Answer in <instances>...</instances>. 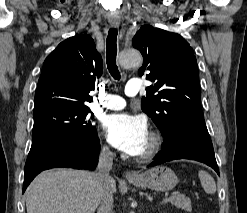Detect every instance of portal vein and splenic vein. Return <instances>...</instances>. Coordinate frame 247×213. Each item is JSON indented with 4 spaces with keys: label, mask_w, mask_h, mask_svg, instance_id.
Returning a JSON list of instances; mask_svg holds the SVG:
<instances>
[{
    "label": "portal vein and splenic vein",
    "mask_w": 247,
    "mask_h": 213,
    "mask_svg": "<svg viewBox=\"0 0 247 213\" xmlns=\"http://www.w3.org/2000/svg\"><path fill=\"white\" fill-rule=\"evenodd\" d=\"M175 195H176L175 193H172L169 197L163 199V201L161 203H166V202L173 200Z\"/></svg>",
    "instance_id": "obj_1"
}]
</instances>
